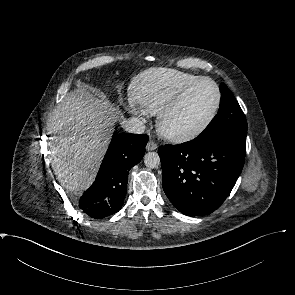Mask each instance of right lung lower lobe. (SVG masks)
<instances>
[{
    "label": "right lung lower lobe",
    "instance_id": "1",
    "mask_svg": "<svg viewBox=\"0 0 295 295\" xmlns=\"http://www.w3.org/2000/svg\"><path fill=\"white\" fill-rule=\"evenodd\" d=\"M148 136L114 135L92 186L79 200V208L95 219L118 212L127 191L128 172L145 154Z\"/></svg>",
    "mask_w": 295,
    "mask_h": 295
}]
</instances>
